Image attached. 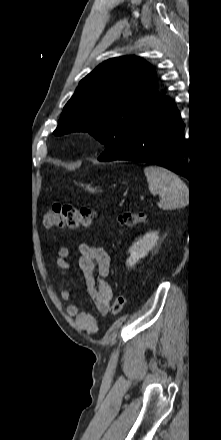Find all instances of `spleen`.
<instances>
[{
	"mask_svg": "<svg viewBox=\"0 0 221 440\" xmlns=\"http://www.w3.org/2000/svg\"><path fill=\"white\" fill-rule=\"evenodd\" d=\"M149 191L161 197L158 206L163 210L177 209L185 206L189 198L187 185L173 172L156 166L144 169Z\"/></svg>",
	"mask_w": 221,
	"mask_h": 440,
	"instance_id": "1",
	"label": "spleen"
}]
</instances>
